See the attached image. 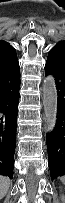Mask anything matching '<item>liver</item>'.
Here are the masks:
<instances>
[{"mask_svg": "<svg viewBox=\"0 0 65 203\" xmlns=\"http://www.w3.org/2000/svg\"><path fill=\"white\" fill-rule=\"evenodd\" d=\"M9 186H10L9 178L1 176L0 177V197L1 198L5 197V195L8 192Z\"/></svg>", "mask_w": 65, "mask_h": 203, "instance_id": "obj_1", "label": "liver"}]
</instances>
